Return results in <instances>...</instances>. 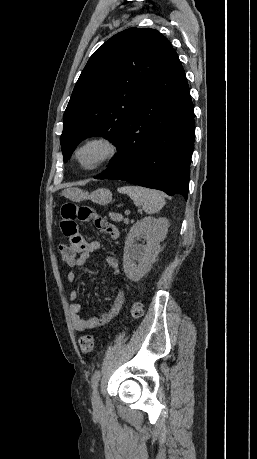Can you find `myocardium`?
<instances>
[{"instance_id": "myocardium-1", "label": "myocardium", "mask_w": 257, "mask_h": 459, "mask_svg": "<svg viewBox=\"0 0 257 459\" xmlns=\"http://www.w3.org/2000/svg\"><path fill=\"white\" fill-rule=\"evenodd\" d=\"M89 146H100L104 149V154L96 160L94 163L90 165H84L81 163L79 159V153L89 147ZM119 145L118 143L107 135H95L89 138H86L82 142H80L73 150V159L78 168L85 172H91L98 170L110 162H112L119 153Z\"/></svg>"}]
</instances>
